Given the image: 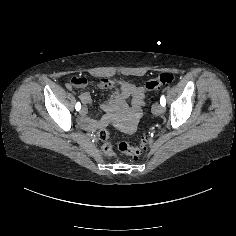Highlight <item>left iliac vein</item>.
I'll use <instances>...</instances> for the list:
<instances>
[{"instance_id":"obj_1","label":"left iliac vein","mask_w":236,"mask_h":236,"mask_svg":"<svg viewBox=\"0 0 236 236\" xmlns=\"http://www.w3.org/2000/svg\"><path fill=\"white\" fill-rule=\"evenodd\" d=\"M152 110L155 114H162L164 112V107L162 105H153Z\"/></svg>"}]
</instances>
